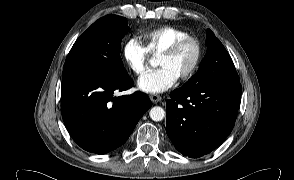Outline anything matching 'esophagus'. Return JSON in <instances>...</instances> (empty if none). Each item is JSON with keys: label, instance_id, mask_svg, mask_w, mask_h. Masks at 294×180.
Wrapping results in <instances>:
<instances>
[{"label": "esophagus", "instance_id": "1", "mask_svg": "<svg viewBox=\"0 0 294 180\" xmlns=\"http://www.w3.org/2000/svg\"><path fill=\"white\" fill-rule=\"evenodd\" d=\"M150 99L153 103H157V102H160L162 98L160 95L153 94L150 96Z\"/></svg>", "mask_w": 294, "mask_h": 180}]
</instances>
